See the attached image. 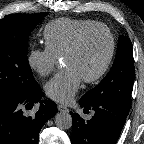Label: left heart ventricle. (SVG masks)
<instances>
[{
    "instance_id": "b2bd125f",
    "label": "left heart ventricle",
    "mask_w": 144,
    "mask_h": 144,
    "mask_svg": "<svg viewBox=\"0 0 144 144\" xmlns=\"http://www.w3.org/2000/svg\"><path fill=\"white\" fill-rule=\"evenodd\" d=\"M109 52V37L103 30H94L86 35L80 47L64 58L66 67L75 68L82 78L96 74L103 66Z\"/></svg>"
}]
</instances>
